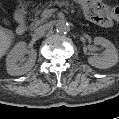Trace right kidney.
Masks as SVG:
<instances>
[{"label": "right kidney", "mask_w": 119, "mask_h": 119, "mask_svg": "<svg viewBox=\"0 0 119 119\" xmlns=\"http://www.w3.org/2000/svg\"><path fill=\"white\" fill-rule=\"evenodd\" d=\"M26 53L29 54V57L28 60L24 62L23 57ZM36 57V50H27V45L25 42L17 43L7 55V72L13 76H19L27 73L35 65Z\"/></svg>", "instance_id": "obj_1"}]
</instances>
